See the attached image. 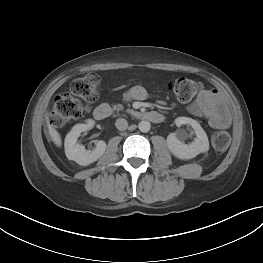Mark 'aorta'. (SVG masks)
<instances>
[{"label":"aorta","mask_w":263,"mask_h":263,"mask_svg":"<svg viewBox=\"0 0 263 263\" xmlns=\"http://www.w3.org/2000/svg\"><path fill=\"white\" fill-rule=\"evenodd\" d=\"M138 128L141 132L143 133H147L150 131V128H151V124L148 122V121H141L139 124H138Z\"/></svg>","instance_id":"762f6f07"}]
</instances>
